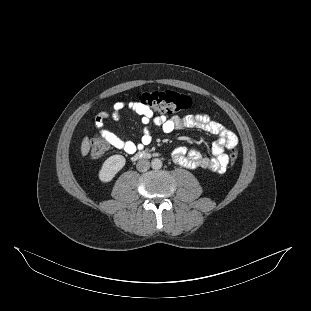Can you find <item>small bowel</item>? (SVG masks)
<instances>
[{
	"instance_id": "small-bowel-1",
	"label": "small bowel",
	"mask_w": 311,
	"mask_h": 311,
	"mask_svg": "<svg viewBox=\"0 0 311 311\" xmlns=\"http://www.w3.org/2000/svg\"><path fill=\"white\" fill-rule=\"evenodd\" d=\"M125 109H129L141 117L143 128L140 143H134L103 128L104 119L111 118L113 121H119L121 113ZM95 124L99 128L101 135L111 146L128 154H133L152 142L151 125L157 127L164 134H169L181 128H196L205 131L216 137L211 150L212 157L203 156L196 149L180 146L172 152V159L175 163L189 169H206L215 173H224L226 171L229 158L225 151L236 146L238 142L234 132L212 119L206 113H196L183 118H167L163 115H155L151 108L139 100L116 102L111 114L100 113L97 115Z\"/></svg>"
}]
</instances>
